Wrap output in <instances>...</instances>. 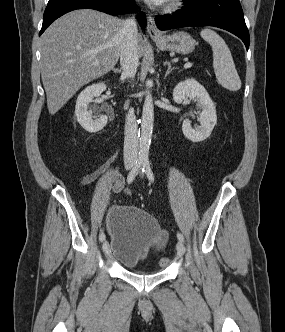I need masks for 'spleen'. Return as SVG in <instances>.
I'll return each instance as SVG.
<instances>
[{"instance_id":"spleen-1","label":"spleen","mask_w":285,"mask_h":332,"mask_svg":"<svg viewBox=\"0 0 285 332\" xmlns=\"http://www.w3.org/2000/svg\"><path fill=\"white\" fill-rule=\"evenodd\" d=\"M200 35L212 47L213 68L218 83L230 91L239 90L241 80L225 41L215 31L207 28L203 29Z\"/></svg>"}]
</instances>
